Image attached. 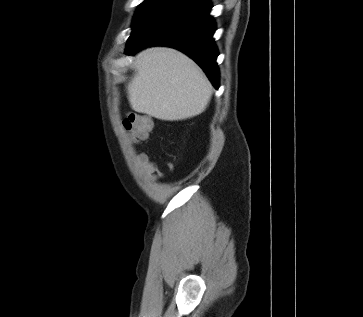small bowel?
I'll use <instances>...</instances> for the list:
<instances>
[{"instance_id": "small-bowel-1", "label": "small bowel", "mask_w": 363, "mask_h": 317, "mask_svg": "<svg viewBox=\"0 0 363 317\" xmlns=\"http://www.w3.org/2000/svg\"><path fill=\"white\" fill-rule=\"evenodd\" d=\"M140 161L145 165L146 171L152 180H158L162 178V176L157 172L156 166L149 162L145 155L140 156Z\"/></svg>"}]
</instances>
